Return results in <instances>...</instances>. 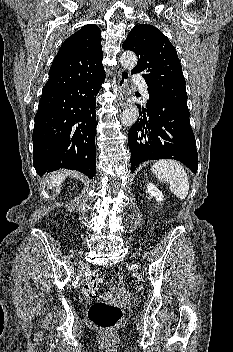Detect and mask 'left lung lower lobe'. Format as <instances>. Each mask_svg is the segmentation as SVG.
Returning <instances> with one entry per match:
<instances>
[{
    "instance_id": "obj_1",
    "label": "left lung lower lobe",
    "mask_w": 233,
    "mask_h": 352,
    "mask_svg": "<svg viewBox=\"0 0 233 352\" xmlns=\"http://www.w3.org/2000/svg\"><path fill=\"white\" fill-rule=\"evenodd\" d=\"M149 102L131 127L128 145L131 151V172L146 160L174 159L193 173L198 169V154L190 126L187 106L149 91ZM140 111H141V107Z\"/></svg>"
}]
</instances>
